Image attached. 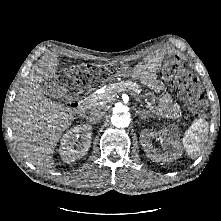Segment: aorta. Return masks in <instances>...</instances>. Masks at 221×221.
<instances>
[{
	"mask_svg": "<svg viewBox=\"0 0 221 221\" xmlns=\"http://www.w3.org/2000/svg\"><path fill=\"white\" fill-rule=\"evenodd\" d=\"M122 108L123 106L118 105L113 109L111 123L116 128L128 127L131 121L130 114L127 111H123Z\"/></svg>",
	"mask_w": 221,
	"mask_h": 221,
	"instance_id": "aorta-1",
	"label": "aorta"
}]
</instances>
